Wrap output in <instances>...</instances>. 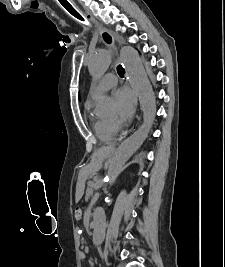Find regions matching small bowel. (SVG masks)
Returning a JSON list of instances; mask_svg holds the SVG:
<instances>
[{"label":"small bowel","mask_w":225,"mask_h":267,"mask_svg":"<svg viewBox=\"0 0 225 267\" xmlns=\"http://www.w3.org/2000/svg\"><path fill=\"white\" fill-rule=\"evenodd\" d=\"M79 257H80V259H81L82 261H85V259H86V255H85L84 252H81V253L79 254Z\"/></svg>","instance_id":"obj_1"}]
</instances>
